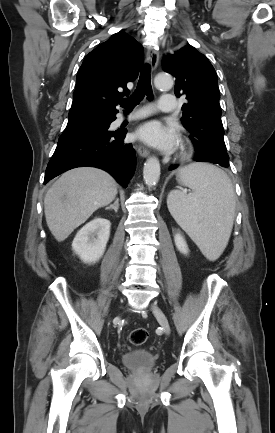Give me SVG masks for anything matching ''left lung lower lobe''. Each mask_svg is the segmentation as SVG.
Here are the masks:
<instances>
[{
	"label": "left lung lower lobe",
	"mask_w": 275,
	"mask_h": 433,
	"mask_svg": "<svg viewBox=\"0 0 275 433\" xmlns=\"http://www.w3.org/2000/svg\"><path fill=\"white\" fill-rule=\"evenodd\" d=\"M222 166H223V167H228V166H229V163H228V164H223ZM176 167H177V166H172L171 169H174V168H176Z\"/></svg>",
	"instance_id": "obj_1"
}]
</instances>
